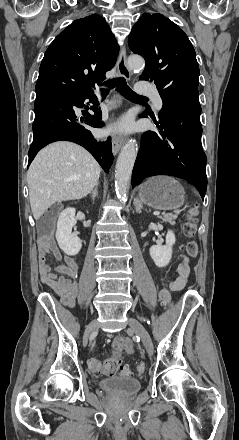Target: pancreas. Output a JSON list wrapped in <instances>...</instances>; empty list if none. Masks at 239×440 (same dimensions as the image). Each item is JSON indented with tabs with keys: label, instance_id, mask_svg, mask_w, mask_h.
Wrapping results in <instances>:
<instances>
[{
	"label": "pancreas",
	"instance_id": "obj_1",
	"mask_svg": "<svg viewBox=\"0 0 239 440\" xmlns=\"http://www.w3.org/2000/svg\"><path fill=\"white\" fill-rule=\"evenodd\" d=\"M140 204V202H139ZM178 214H180V210H177L175 214H164V216H158V218H161L163 222H169V224H174V220L178 218Z\"/></svg>",
	"mask_w": 239,
	"mask_h": 440
}]
</instances>
